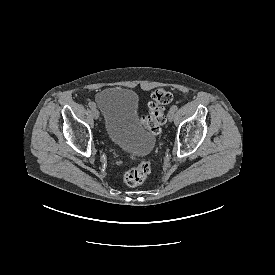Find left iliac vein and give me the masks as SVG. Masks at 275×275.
I'll list each match as a JSON object with an SVG mask.
<instances>
[{
	"mask_svg": "<svg viewBox=\"0 0 275 275\" xmlns=\"http://www.w3.org/2000/svg\"><path fill=\"white\" fill-rule=\"evenodd\" d=\"M175 117L174 111L170 110L168 113V120L173 121Z\"/></svg>",
	"mask_w": 275,
	"mask_h": 275,
	"instance_id": "4c4485c4",
	"label": "left iliac vein"
}]
</instances>
